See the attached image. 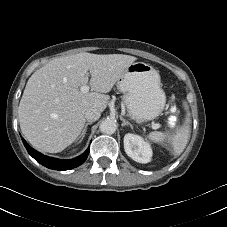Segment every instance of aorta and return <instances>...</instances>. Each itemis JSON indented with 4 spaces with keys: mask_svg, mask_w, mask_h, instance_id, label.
Masks as SVG:
<instances>
[{
    "mask_svg": "<svg viewBox=\"0 0 227 227\" xmlns=\"http://www.w3.org/2000/svg\"><path fill=\"white\" fill-rule=\"evenodd\" d=\"M117 129L116 122L113 119H105L101 122L99 130L105 134H113Z\"/></svg>",
    "mask_w": 227,
    "mask_h": 227,
    "instance_id": "aorta-1",
    "label": "aorta"
}]
</instances>
